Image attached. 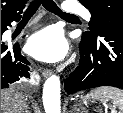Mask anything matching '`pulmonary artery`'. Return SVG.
I'll return each mask as SVG.
<instances>
[{"label": "pulmonary artery", "instance_id": "e3ab8cb5", "mask_svg": "<svg viewBox=\"0 0 123 113\" xmlns=\"http://www.w3.org/2000/svg\"><path fill=\"white\" fill-rule=\"evenodd\" d=\"M64 10L68 13H78L86 20L90 19V13L84 9L80 4L74 1H65L63 3Z\"/></svg>", "mask_w": 123, "mask_h": 113}]
</instances>
